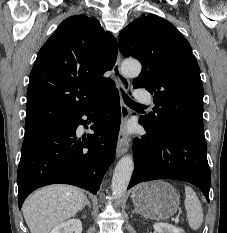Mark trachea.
<instances>
[{"label":"trachea","mask_w":227,"mask_h":233,"mask_svg":"<svg viewBox=\"0 0 227 233\" xmlns=\"http://www.w3.org/2000/svg\"><path fill=\"white\" fill-rule=\"evenodd\" d=\"M121 92H122L123 100L128 106H143L139 103H136L131 98H129L128 95L122 89H121Z\"/></svg>","instance_id":"1"}]
</instances>
